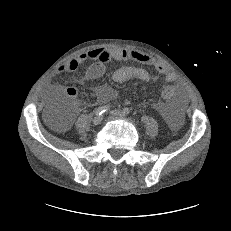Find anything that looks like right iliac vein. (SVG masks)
<instances>
[{"label":"right iliac vein","instance_id":"obj_1","mask_svg":"<svg viewBox=\"0 0 231 231\" xmlns=\"http://www.w3.org/2000/svg\"><path fill=\"white\" fill-rule=\"evenodd\" d=\"M102 119H103L102 116H95L93 118L92 122L94 125H99L101 123Z\"/></svg>","mask_w":231,"mask_h":231}]
</instances>
